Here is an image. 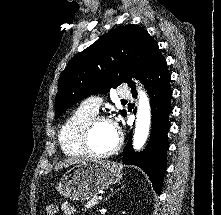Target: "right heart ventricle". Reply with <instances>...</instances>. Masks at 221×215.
I'll use <instances>...</instances> for the list:
<instances>
[{
	"label": "right heart ventricle",
	"instance_id": "1",
	"mask_svg": "<svg viewBox=\"0 0 221 215\" xmlns=\"http://www.w3.org/2000/svg\"><path fill=\"white\" fill-rule=\"evenodd\" d=\"M94 115L79 107L66 119L59 132L60 146L66 155L80 157L87 154L81 145V134L86 122Z\"/></svg>",
	"mask_w": 221,
	"mask_h": 215
}]
</instances>
